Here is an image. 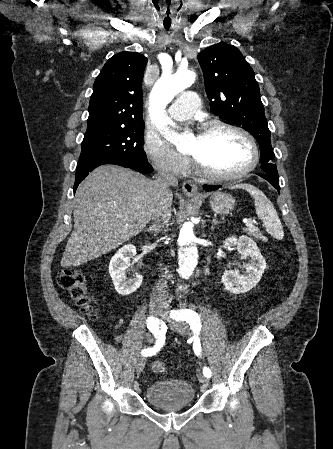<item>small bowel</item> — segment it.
I'll return each mask as SVG.
<instances>
[{
	"label": "small bowel",
	"instance_id": "obj_1",
	"mask_svg": "<svg viewBox=\"0 0 333 449\" xmlns=\"http://www.w3.org/2000/svg\"><path fill=\"white\" fill-rule=\"evenodd\" d=\"M121 340H122V339L119 337V338H118V341H121Z\"/></svg>",
	"mask_w": 333,
	"mask_h": 449
}]
</instances>
